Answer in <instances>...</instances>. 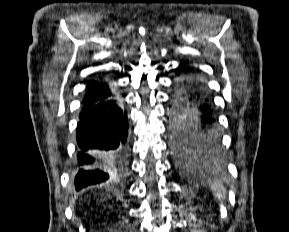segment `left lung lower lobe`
I'll return each instance as SVG.
<instances>
[{"label":"left lung lower lobe","instance_id":"obj_1","mask_svg":"<svg viewBox=\"0 0 289 232\" xmlns=\"http://www.w3.org/2000/svg\"><path fill=\"white\" fill-rule=\"evenodd\" d=\"M177 74L180 76V84L188 102L186 110L181 113L193 121L197 130L207 140L220 147V130L203 81L193 67L183 63L177 68Z\"/></svg>","mask_w":289,"mask_h":232}]
</instances>
